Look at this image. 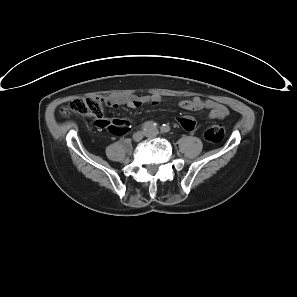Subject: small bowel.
Wrapping results in <instances>:
<instances>
[{
	"label": "small bowel",
	"mask_w": 297,
	"mask_h": 297,
	"mask_svg": "<svg viewBox=\"0 0 297 297\" xmlns=\"http://www.w3.org/2000/svg\"><path fill=\"white\" fill-rule=\"evenodd\" d=\"M162 102L160 96H129V97H108L105 98V103L108 107L117 108L119 106H126L129 108H140L145 104L159 105ZM178 105L185 110L198 111L202 109L210 110L208 114L209 119H224L228 116V108L218 102L212 100H203L195 97L192 99H184L179 101ZM179 124L186 130H192L195 126V121L190 116H185L179 119ZM129 125V121L124 119H90L88 126L90 128H99L100 130H112L117 133L125 131Z\"/></svg>",
	"instance_id": "obj_1"
}]
</instances>
